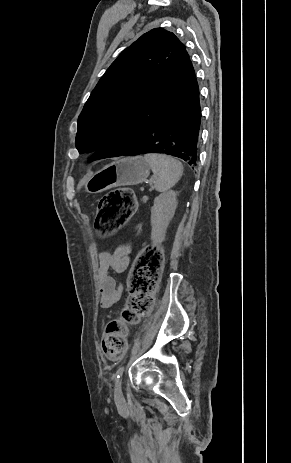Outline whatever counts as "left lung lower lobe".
Here are the masks:
<instances>
[{"label": "left lung lower lobe", "instance_id": "0a47b994", "mask_svg": "<svg viewBox=\"0 0 291 463\" xmlns=\"http://www.w3.org/2000/svg\"><path fill=\"white\" fill-rule=\"evenodd\" d=\"M201 107L196 76L184 86L138 143L123 155H172L196 169Z\"/></svg>", "mask_w": 291, "mask_h": 463}]
</instances>
